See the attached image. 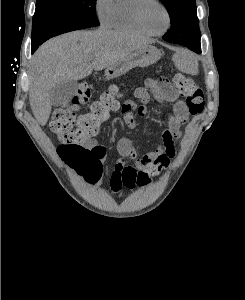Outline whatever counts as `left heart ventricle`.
I'll return each mask as SVG.
<instances>
[{
    "mask_svg": "<svg viewBox=\"0 0 245 300\" xmlns=\"http://www.w3.org/2000/svg\"><path fill=\"white\" fill-rule=\"evenodd\" d=\"M144 17L147 26L151 30L159 31L166 25V16L163 10L155 4H149L146 7Z\"/></svg>",
    "mask_w": 245,
    "mask_h": 300,
    "instance_id": "obj_1",
    "label": "left heart ventricle"
}]
</instances>
